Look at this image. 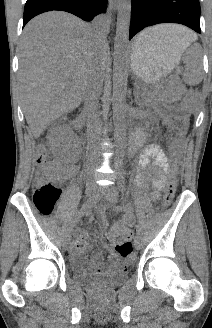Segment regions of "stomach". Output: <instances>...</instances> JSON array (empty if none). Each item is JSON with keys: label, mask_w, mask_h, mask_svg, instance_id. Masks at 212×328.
<instances>
[{"label": "stomach", "mask_w": 212, "mask_h": 328, "mask_svg": "<svg viewBox=\"0 0 212 328\" xmlns=\"http://www.w3.org/2000/svg\"><path fill=\"white\" fill-rule=\"evenodd\" d=\"M184 49L180 44L161 39L150 40L140 48L133 45L132 71L145 83H155L174 69Z\"/></svg>", "instance_id": "stomach-1"}]
</instances>
